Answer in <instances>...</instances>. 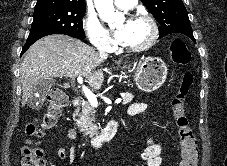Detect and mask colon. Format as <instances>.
<instances>
[{"label": "colon", "mask_w": 227, "mask_h": 166, "mask_svg": "<svg viewBox=\"0 0 227 166\" xmlns=\"http://www.w3.org/2000/svg\"><path fill=\"white\" fill-rule=\"evenodd\" d=\"M172 62L184 65L190 61L191 53L184 41L176 39L170 45ZM193 84V75L186 72L171 102V111L178 129L180 145V161L178 166H197L199 149L197 139L189 126L186 115L185 100ZM68 96L60 88L50 91L44 114L39 119L29 123L25 132L29 136L27 144L22 149V166H45L44 152L38 147L39 140L49 128L53 127L63 109L68 105Z\"/></svg>", "instance_id": "obj_1"}]
</instances>
